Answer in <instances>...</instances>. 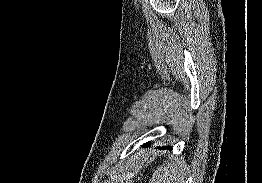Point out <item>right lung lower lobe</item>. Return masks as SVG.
Segmentation results:
<instances>
[{
  "label": "right lung lower lobe",
  "mask_w": 262,
  "mask_h": 183,
  "mask_svg": "<svg viewBox=\"0 0 262 183\" xmlns=\"http://www.w3.org/2000/svg\"><path fill=\"white\" fill-rule=\"evenodd\" d=\"M148 146V145H147ZM162 148H168V149H170L171 147H167V146H165V147H162Z\"/></svg>",
  "instance_id": "1"
}]
</instances>
